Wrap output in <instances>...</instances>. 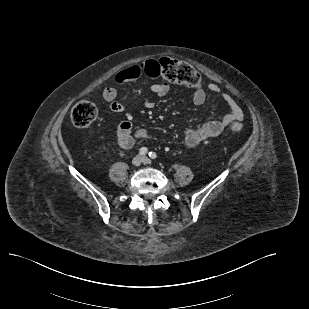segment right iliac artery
<instances>
[{
	"label": "right iliac artery",
	"instance_id": "1",
	"mask_svg": "<svg viewBox=\"0 0 309 309\" xmlns=\"http://www.w3.org/2000/svg\"><path fill=\"white\" fill-rule=\"evenodd\" d=\"M148 153V149L146 147H142L139 149L140 155H146Z\"/></svg>",
	"mask_w": 309,
	"mask_h": 309
}]
</instances>
